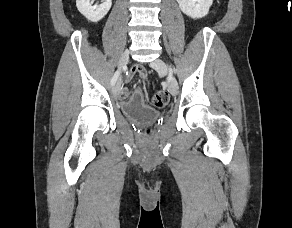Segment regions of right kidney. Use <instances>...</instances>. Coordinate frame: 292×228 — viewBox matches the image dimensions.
<instances>
[{
	"label": "right kidney",
	"mask_w": 292,
	"mask_h": 228,
	"mask_svg": "<svg viewBox=\"0 0 292 228\" xmlns=\"http://www.w3.org/2000/svg\"><path fill=\"white\" fill-rule=\"evenodd\" d=\"M112 0H104L100 5L92 6L90 0H76L79 12L91 22L100 21L110 10Z\"/></svg>",
	"instance_id": "right-kidney-1"
}]
</instances>
